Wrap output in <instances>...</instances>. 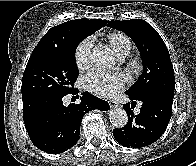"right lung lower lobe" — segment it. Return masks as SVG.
Returning a JSON list of instances; mask_svg holds the SVG:
<instances>
[{
  "label": "right lung lower lobe",
  "mask_w": 196,
  "mask_h": 166,
  "mask_svg": "<svg viewBox=\"0 0 196 166\" xmlns=\"http://www.w3.org/2000/svg\"><path fill=\"white\" fill-rule=\"evenodd\" d=\"M76 90L72 92L74 94ZM65 95L32 93L22 96L23 118L32 143L49 154H60L78 141L83 116L93 109L107 111L108 102L82 93L79 104L63 105Z\"/></svg>",
  "instance_id": "right-lung-lower-lobe-1"
}]
</instances>
